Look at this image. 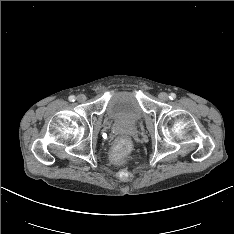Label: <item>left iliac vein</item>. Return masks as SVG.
Wrapping results in <instances>:
<instances>
[{
	"label": "left iliac vein",
	"instance_id": "obj_1",
	"mask_svg": "<svg viewBox=\"0 0 234 234\" xmlns=\"http://www.w3.org/2000/svg\"><path fill=\"white\" fill-rule=\"evenodd\" d=\"M158 97H159V99L161 100V101H167L168 100V98H169V96H168V94L167 93H165V92H161L159 95H158Z\"/></svg>",
	"mask_w": 234,
	"mask_h": 234
}]
</instances>
